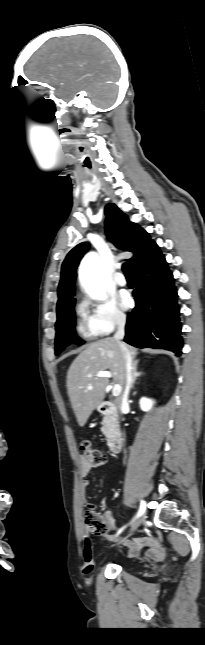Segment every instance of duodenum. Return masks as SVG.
<instances>
[{
  "label": "duodenum",
  "instance_id": "1",
  "mask_svg": "<svg viewBox=\"0 0 205 645\" xmlns=\"http://www.w3.org/2000/svg\"><path fill=\"white\" fill-rule=\"evenodd\" d=\"M100 412L106 416L110 423V430L107 436L109 452L117 454L122 448L123 438L118 428V412L114 404L103 402L99 407Z\"/></svg>",
  "mask_w": 205,
  "mask_h": 645
}]
</instances>
